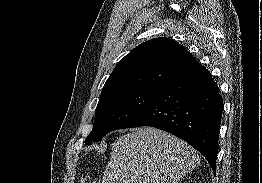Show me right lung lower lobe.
I'll use <instances>...</instances> for the list:
<instances>
[{
	"mask_svg": "<svg viewBox=\"0 0 262 183\" xmlns=\"http://www.w3.org/2000/svg\"><path fill=\"white\" fill-rule=\"evenodd\" d=\"M223 101L208 70L201 66L162 86L124 128L152 126L185 140L216 172Z\"/></svg>",
	"mask_w": 262,
	"mask_h": 183,
	"instance_id": "right-lung-lower-lobe-1",
	"label": "right lung lower lobe"
}]
</instances>
